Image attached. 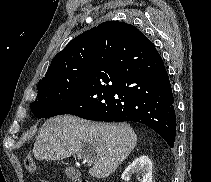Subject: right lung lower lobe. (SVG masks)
I'll use <instances>...</instances> for the list:
<instances>
[{"label": "right lung lower lobe", "mask_w": 211, "mask_h": 182, "mask_svg": "<svg viewBox=\"0 0 211 182\" xmlns=\"http://www.w3.org/2000/svg\"><path fill=\"white\" fill-rule=\"evenodd\" d=\"M62 114L139 122L174 146V98L163 60L152 42L134 43L122 25L102 29L87 81Z\"/></svg>", "instance_id": "98d812e1"}]
</instances>
